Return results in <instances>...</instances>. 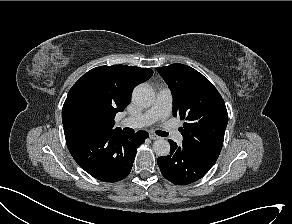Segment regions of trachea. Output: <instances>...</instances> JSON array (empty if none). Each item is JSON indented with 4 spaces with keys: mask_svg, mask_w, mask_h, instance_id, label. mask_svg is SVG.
I'll use <instances>...</instances> for the list:
<instances>
[{
    "mask_svg": "<svg viewBox=\"0 0 292 224\" xmlns=\"http://www.w3.org/2000/svg\"><path fill=\"white\" fill-rule=\"evenodd\" d=\"M125 130L129 131L130 129L129 128H125ZM156 134L159 135V136H162V137H167L169 135V133H167L165 131H160V130L156 131Z\"/></svg>",
    "mask_w": 292,
    "mask_h": 224,
    "instance_id": "trachea-1",
    "label": "trachea"
}]
</instances>
